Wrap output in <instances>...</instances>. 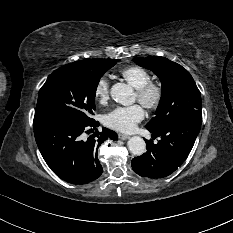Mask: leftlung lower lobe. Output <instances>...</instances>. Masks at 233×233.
<instances>
[{
    "instance_id": "left-lung-lower-lobe-1",
    "label": "left lung lower lobe",
    "mask_w": 233,
    "mask_h": 233,
    "mask_svg": "<svg viewBox=\"0 0 233 233\" xmlns=\"http://www.w3.org/2000/svg\"><path fill=\"white\" fill-rule=\"evenodd\" d=\"M202 123L201 110H195L172 121L159 131L148 129L161 136L157 144L146 140L147 152L132 159V168L140 176L163 178L181 166L188 157Z\"/></svg>"
}]
</instances>
